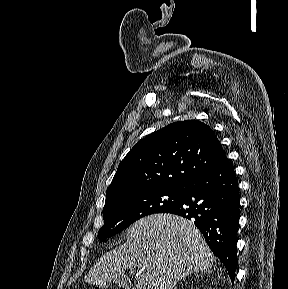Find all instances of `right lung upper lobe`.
I'll use <instances>...</instances> for the list:
<instances>
[{
  "instance_id": "cb5924a9",
  "label": "right lung upper lobe",
  "mask_w": 288,
  "mask_h": 289,
  "mask_svg": "<svg viewBox=\"0 0 288 289\" xmlns=\"http://www.w3.org/2000/svg\"><path fill=\"white\" fill-rule=\"evenodd\" d=\"M224 156L208 125L197 120L175 122L149 134L129 151L106 197L132 190L184 188Z\"/></svg>"
}]
</instances>
